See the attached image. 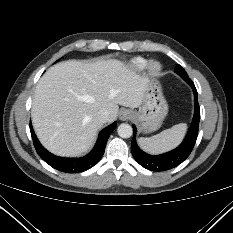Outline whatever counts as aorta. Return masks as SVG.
Wrapping results in <instances>:
<instances>
[{
    "label": "aorta",
    "instance_id": "aorta-1",
    "mask_svg": "<svg viewBox=\"0 0 233 233\" xmlns=\"http://www.w3.org/2000/svg\"><path fill=\"white\" fill-rule=\"evenodd\" d=\"M117 132L121 138H129L132 136L133 129L129 124L122 123L118 126Z\"/></svg>",
    "mask_w": 233,
    "mask_h": 233
}]
</instances>
